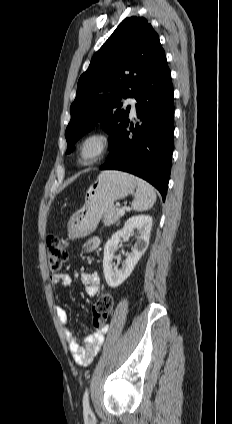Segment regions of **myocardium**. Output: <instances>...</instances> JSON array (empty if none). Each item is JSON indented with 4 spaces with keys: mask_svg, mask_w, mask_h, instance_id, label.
Returning <instances> with one entry per match:
<instances>
[{
    "mask_svg": "<svg viewBox=\"0 0 232 424\" xmlns=\"http://www.w3.org/2000/svg\"><path fill=\"white\" fill-rule=\"evenodd\" d=\"M94 141L96 148L87 153L85 150L86 145ZM111 146L110 136L103 130H94L84 135L76 147V159L82 166H89L100 161L109 151Z\"/></svg>",
    "mask_w": 232,
    "mask_h": 424,
    "instance_id": "1",
    "label": "myocardium"
}]
</instances>
